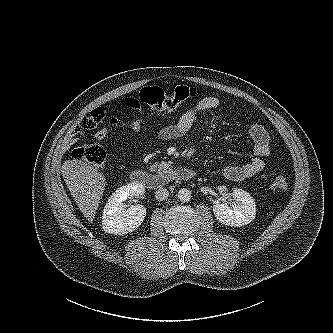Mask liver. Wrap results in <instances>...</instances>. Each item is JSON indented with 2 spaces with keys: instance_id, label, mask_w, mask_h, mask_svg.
Instances as JSON below:
<instances>
[{
  "instance_id": "obj_1",
  "label": "liver",
  "mask_w": 333,
  "mask_h": 333,
  "mask_svg": "<svg viewBox=\"0 0 333 333\" xmlns=\"http://www.w3.org/2000/svg\"><path fill=\"white\" fill-rule=\"evenodd\" d=\"M61 172L80 211L88 221L92 222L105 190L104 175L81 160H66Z\"/></svg>"
}]
</instances>
